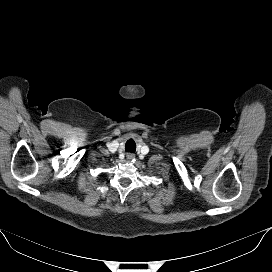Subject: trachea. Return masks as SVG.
<instances>
[{
    "label": "trachea",
    "instance_id": "1",
    "mask_svg": "<svg viewBox=\"0 0 272 272\" xmlns=\"http://www.w3.org/2000/svg\"><path fill=\"white\" fill-rule=\"evenodd\" d=\"M125 150L127 152H135L136 151V143L133 139L127 140L125 144Z\"/></svg>",
    "mask_w": 272,
    "mask_h": 272
}]
</instances>
